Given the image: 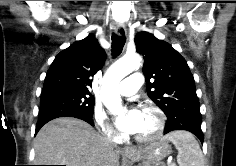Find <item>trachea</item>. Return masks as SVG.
Instances as JSON below:
<instances>
[{
	"mask_svg": "<svg viewBox=\"0 0 236 166\" xmlns=\"http://www.w3.org/2000/svg\"><path fill=\"white\" fill-rule=\"evenodd\" d=\"M125 38L116 35L115 33L112 34V55L114 57L118 56L124 47Z\"/></svg>",
	"mask_w": 236,
	"mask_h": 166,
	"instance_id": "1",
	"label": "trachea"
}]
</instances>
